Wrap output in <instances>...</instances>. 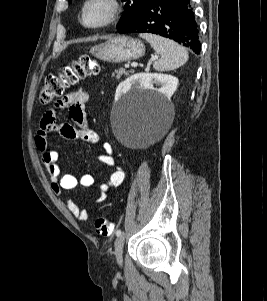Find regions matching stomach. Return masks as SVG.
<instances>
[{"mask_svg": "<svg viewBox=\"0 0 267 301\" xmlns=\"http://www.w3.org/2000/svg\"><path fill=\"white\" fill-rule=\"evenodd\" d=\"M90 52L96 58L110 63L136 60L145 53L142 41L128 36H116L104 43L93 46Z\"/></svg>", "mask_w": 267, "mask_h": 301, "instance_id": "obj_1", "label": "stomach"}]
</instances>
